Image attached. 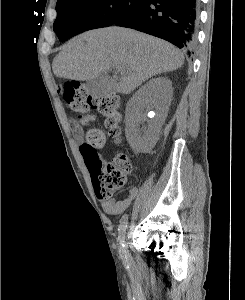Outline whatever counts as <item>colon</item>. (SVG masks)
Instances as JSON below:
<instances>
[{"label":"colon","instance_id":"5ec220e1","mask_svg":"<svg viewBox=\"0 0 245 300\" xmlns=\"http://www.w3.org/2000/svg\"><path fill=\"white\" fill-rule=\"evenodd\" d=\"M59 90L70 108L79 114L80 122L87 126L80 152L91 174L94 189L100 198L110 199L125 185L132 165L124 153L116 155L111 161H106L100 154L99 151L106 142V134L102 129L91 126L94 117L89 113V109L94 108L105 118L104 124L109 136L119 140V97L114 93L100 97L92 96L87 86L78 81L65 83Z\"/></svg>","mask_w":245,"mask_h":300}]
</instances>
